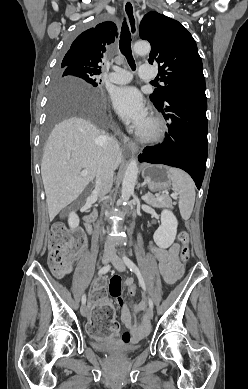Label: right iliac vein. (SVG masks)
Returning a JSON list of instances; mask_svg holds the SVG:
<instances>
[{"label": "right iliac vein", "mask_w": 248, "mask_h": 389, "mask_svg": "<svg viewBox=\"0 0 248 389\" xmlns=\"http://www.w3.org/2000/svg\"><path fill=\"white\" fill-rule=\"evenodd\" d=\"M111 260H112V256L109 254H104L102 257L103 264H107ZM80 311H81L82 316L86 317L88 315V310H87V307L85 304H82Z\"/></svg>", "instance_id": "63e3f726"}]
</instances>
